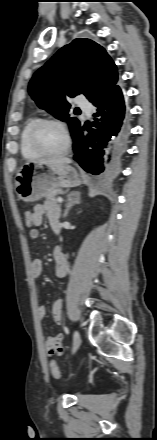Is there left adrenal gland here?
<instances>
[{"label": "left adrenal gland", "instance_id": "left-adrenal-gland-1", "mask_svg": "<svg viewBox=\"0 0 157 440\" xmlns=\"http://www.w3.org/2000/svg\"><path fill=\"white\" fill-rule=\"evenodd\" d=\"M80 203H81L80 202V193H76V194L71 193V194H69L68 195V199H67V203H66V209H65L64 214H63V218L67 217L70 209L74 205H77V204H80Z\"/></svg>", "mask_w": 157, "mask_h": 440}]
</instances>
